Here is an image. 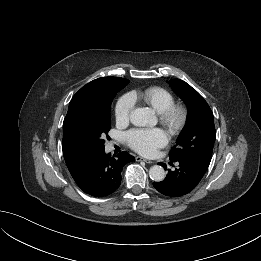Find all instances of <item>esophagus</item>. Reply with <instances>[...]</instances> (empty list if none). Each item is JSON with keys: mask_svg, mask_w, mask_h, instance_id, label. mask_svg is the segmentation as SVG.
Returning a JSON list of instances; mask_svg holds the SVG:
<instances>
[{"mask_svg": "<svg viewBox=\"0 0 261 261\" xmlns=\"http://www.w3.org/2000/svg\"><path fill=\"white\" fill-rule=\"evenodd\" d=\"M135 159H136V161H144V162H146L147 164H152V163H153V161L148 160V159H145V158H142V157H140V156L135 157Z\"/></svg>", "mask_w": 261, "mask_h": 261, "instance_id": "34e87169", "label": "esophagus"}]
</instances>
